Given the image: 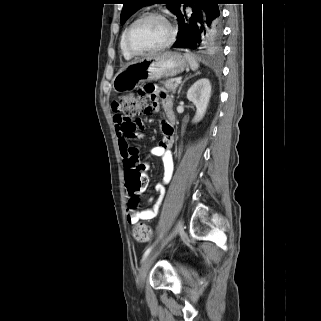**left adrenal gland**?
Here are the masks:
<instances>
[{"label": "left adrenal gland", "instance_id": "obj_1", "mask_svg": "<svg viewBox=\"0 0 321 321\" xmlns=\"http://www.w3.org/2000/svg\"><path fill=\"white\" fill-rule=\"evenodd\" d=\"M198 74H200V72H197L195 75H198ZM193 76H194V75H193ZM193 76L187 77V78L182 82V84H181L180 87H179L178 94H180V91H181V89H182L183 84H184L189 78H191V77H193Z\"/></svg>", "mask_w": 321, "mask_h": 321}]
</instances>
